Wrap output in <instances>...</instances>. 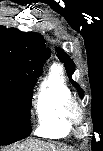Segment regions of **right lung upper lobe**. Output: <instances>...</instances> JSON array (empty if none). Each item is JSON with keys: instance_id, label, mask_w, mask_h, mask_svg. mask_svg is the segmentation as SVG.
<instances>
[{"instance_id": "cb5924a9", "label": "right lung upper lobe", "mask_w": 103, "mask_h": 151, "mask_svg": "<svg viewBox=\"0 0 103 151\" xmlns=\"http://www.w3.org/2000/svg\"><path fill=\"white\" fill-rule=\"evenodd\" d=\"M49 57L42 35L0 26V77L10 85L37 79Z\"/></svg>"}]
</instances>
